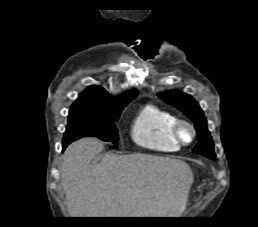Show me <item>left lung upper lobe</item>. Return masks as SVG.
I'll return each instance as SVG.
<instances>
[{
  "label": "left lung upper lobe",
  "instance_id": "obj_1",
  "mask_svg": "<svg viewBox=\"0 0 258 227\" xmlns=\"http://www.w3.org/2000/svg\"><path fill=\"white\" fill-rule=\"evenodd\" d=\"M159 96L168 104L179 109L194 122L198 135V144L194 147L193 152L214 159L216 155L214 153L213 140L207 129L206 118L198 102L190 95L177 91L159 94Z\"/></svg>",
  "mask_w": 258,
  "mask_h": 227
}]
</instances>
